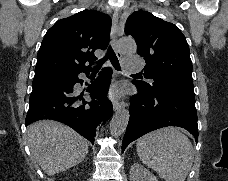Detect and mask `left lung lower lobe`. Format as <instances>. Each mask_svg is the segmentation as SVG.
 <instances>
[{"label": "left lung lower lobe", "mask_w": 228, "mask_h": 181, "mask_svg": "<svg viewBox=\"0 0 228 181\" xmlns=\"http://www.w3.org/2000/svg\"><path fill=\"white\" fill-rule=\"evenodd\" d=\"M136 78V77H134ZM139 96L130 103V119L123 138L122 152L132 141L153 130L177 126L188 130L198 142L197 112L194 93L161 83L139 85Z\"/></svg>", "instance_id": "left-lung-lower-lobe-1"}]
</instances>
